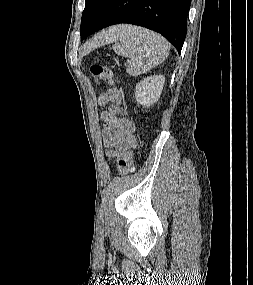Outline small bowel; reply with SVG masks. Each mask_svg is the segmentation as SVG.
I'll use <instances>...</instances> for the list:
<instances>
[{
	"label": "small bowel",
	"instance_id": "c3829d8e",
	"mask_svg": "<svg viewBox=\"0 0 253 285\" xmlns=\"http://www.w3.org/2000/svg\"><path fill=\"white\" fill-rule=\"evenodd\" d=\"M122 99L117 89H110L99 98L100 105L107 103L116 104ZM103 122V138L110 157H116L123 150L124 146L132 140V133L135 130L134 124L127 119L119 118L111 108L101 116Z\"/></svg>",
	"mask_w": 253,
	"mask_h": 285
}]
</instances>
